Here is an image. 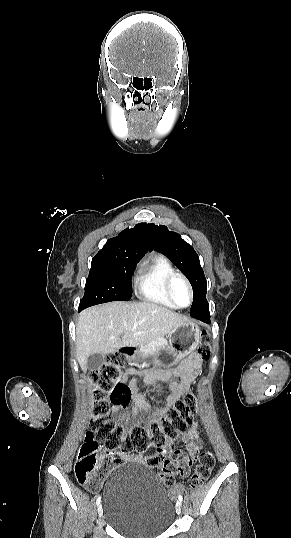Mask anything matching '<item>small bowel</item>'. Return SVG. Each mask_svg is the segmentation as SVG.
I'll list each match as a JSON object with an SVG mask.
<instances>
[{
    "instance_id": "obj_1",
    "label": "small bowel",
    "mask_w": 291,
    "mask_h": 538,
    "mask_svg": "<svg viewBox=\"0 0 291 538\" xmlns=\"http://www.w3.org/2000/svg\"><path fill=\"white\" fill-rule=\"evenodd\" d=\"M200 372L201 365L198 354H187L185 362L179 363L177 369L172 371V378L174 380L165 372H155L144 377V381L148 385H155L159 379L168 385L169 392L166 396L164 405L152 410L147 404L144 396L138 391L137 379L132 378L127 384L129 377L133 375V371L128 370L122 377L121 383L127 385L132 393V409L129 413L122 412L119 405L113 404L111 408L112 414L126 432H129L136 423L141 421L145 417V414H148L152 419H160L176 403V401L190 389L194 379ZM177 438L186 449L188 457L178 461L174 465V469L177 474L185 477L188 475L191 468V465L188 464V459L195 461L196 456L202 447L198 423L193 422L189 430L181 433ZM174 440H169L168 442ZM118 458L120 462L139 463L148 466L147 461L151 456L120 454Z\"/></svg>"
}]
</instances>
